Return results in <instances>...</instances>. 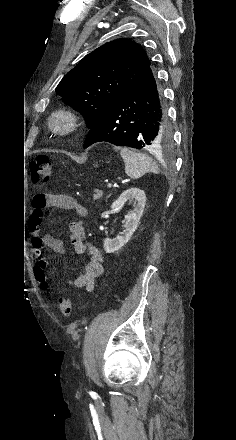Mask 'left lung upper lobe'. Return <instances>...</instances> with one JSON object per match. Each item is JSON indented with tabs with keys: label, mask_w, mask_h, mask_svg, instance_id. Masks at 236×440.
Segmentation results:
<instances>
[{
	"label": "left lung upper lobe",
	"mask_w": 236,
	"mask_h": 440,
	"mask_svg": "<svg viewBox=\"0 0 236 440\" xmlns=\"http://www.w3.org/2000/svg\"><path fill=\"white\" fill-rule=\"evenodd\" d=\"M149 68L150 60L139 44L117 39L83 58L64 76L56 93L83 114L91 129Z\"/></svg>",
	"instance_id": "1"
}]
</instances>
